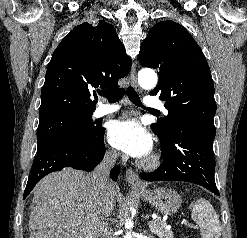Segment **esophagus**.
Wrapping results in <instances>:
<instances>
[{
  "label": "esophagus",
  "mask_w": 247,
  "mask_h": 238,
  "mask_svg": "<svg viewBox=\"0 0 247 238\" xmlns=\"http://www.w3.org/2000/svg\"><path fill=\"white\" fill-rule=\"evenodd\" d=\"M130 79H131V84L135 88V90L140 92L141 89H140L138 82H137L136 64L135 63H133L132 67H131ZM126 180L128 181V183H130L135 188L144 189L143 183L140 181L138 175L132 169L126 170Z\"/></svg>",
  "instance_id": "esophagus-1"
}]
</instances>
